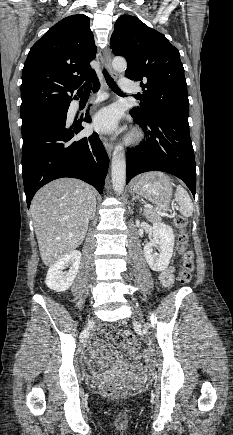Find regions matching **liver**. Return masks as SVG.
I'll return each instance as SVG.
<instances>
[{"label": "liver", "instance_id": "6515ba94", "mask_svg": "<svg viewBox=\"0 0 233 435\" xmlns=\"http://www.w3.org/2000/svg\"><path fill=\"white\" fill-rule=\"evenodd\" d=\"M95 207L91 186L74 178L54 180L35 194L30 209L46 266H52L83 242Z\"/></svg>", "mask_w": 233, "mask_h": 435}]
</instances>
